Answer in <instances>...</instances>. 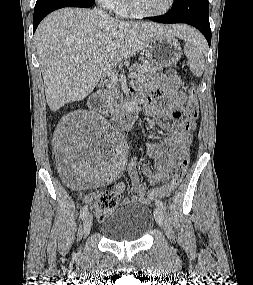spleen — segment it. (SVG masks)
Listing matches in <instances>:
<instances>
[{
	"instance_id": "3e777b00",
	"label": "spleen",
	"mask_w": 253,
	"mask_h": 285,
	"mask_svg": "<svg viewBox=\"0 0 253 285\" xmlns=\"http://www.w3.org/2000/svg\"><path fill=\"white\" fill-rule=\"evenodd\" d=\"M185 41L184 53L190 63V71L200 77L205 68L203 52L207 49L204 37L196 30L190 28L182 37Z\"/></svg>"
}]
</instances>
